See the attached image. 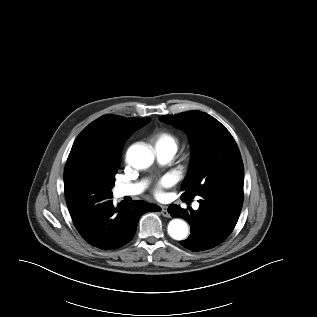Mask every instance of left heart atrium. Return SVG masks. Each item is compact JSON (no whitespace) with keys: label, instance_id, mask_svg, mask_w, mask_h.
<instances>
[{"label":"left heart atrium","instance_id":"left-heart-atrium-1","mask_svg":"<svg viewBox=\"0 0 317 317\" xmlns=\"http://www.w3.org/2000/svg\"><path fill=\"white\" fill-rule=\"evenodd\" d=\"M173 183H174V180H173V178H172L170 175L164 176V177L158 182V184H157L156 187H155V190H154L155 195H156L157 197H162L163 194H164V193H163V190H164L165 188H168V187L172 186Z\"/></svg>","mask_w":317,"mask_h":317}]
</instances>
